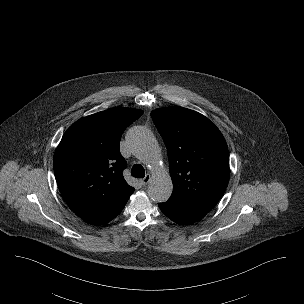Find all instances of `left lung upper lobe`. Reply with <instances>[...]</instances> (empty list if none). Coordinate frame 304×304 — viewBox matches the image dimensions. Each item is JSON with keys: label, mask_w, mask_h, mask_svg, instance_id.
<instances>
[{"label": "left lung upper lobe", "mask_w": 304, "mask_h": 304, "mask_svg": "<svg viewBox=\"0 0 304 304\" xmlns=\"http://www.w3.org/2000/svg\"><path fill=\"white\" fill-rule=\"evenodd\" d=\"M151 117L169 157L170 199L209 212L229 182V154L219 129L202 114L179 106L158 108Z\"/></svg>", "instance_id": "left-lung-upper-lobe-1"}]
</instances>
